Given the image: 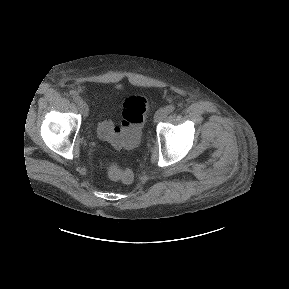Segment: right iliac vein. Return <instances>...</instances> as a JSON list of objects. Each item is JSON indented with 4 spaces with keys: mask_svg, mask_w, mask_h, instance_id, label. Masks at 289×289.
<instances>
[{
    "mask_svg": "<svg viewBox=\"0 0 289 289\" xmlns=\"http://www.w3.org/2000/svg\"><path fill=\"white\" fill-rule=\"evenodd\" d=\"M78 107H79L80 112L83 114V116H87L88 115L89 109H88V105L86 104V102L81 100L78 103Z\"/></svg>",
    "mask_w": 289,
    "mask_h": 289,
    "instance_id": "1",
    "label": "right iliac vein"
}]
</instances>
